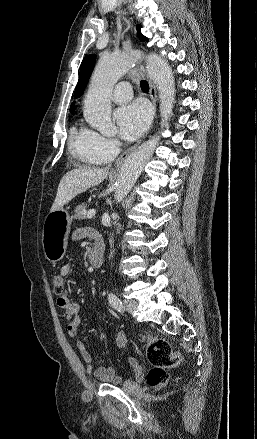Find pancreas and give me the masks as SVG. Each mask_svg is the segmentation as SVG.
<instances>
[{"label":"pancreas","instance_id":"cf45deb5","mask_svg":"<svg viewBox=\"0 0 257 439\" xmlns=\"http://www.w3.org/2000/svg\"><path fill=\"white\" fill-rule=\"evenodd\" d=\"M87 204L83 203L81 205H78L75 208V214H74V218L78 219V220H83L87 218Z\"/></svg>","mask_w":257,"mask_h":439}]
</instances>
